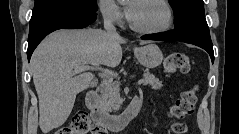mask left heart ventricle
I'll list each match as a JSON object with an SVG mask.
<instances>
[{
  "mask_svg": "<svg viewBox=\"0 0 239 134\" xmlns=\"http://www.w3.org/2000/svg\"><path fill=\"white\" fill-rule=\"evenodd\" d=\"M133 7L131 22L142 28H157L166 19L164 8L150 0L133 1L129 3Z\"/></svg>",
  "mask_w": 239,
  "mask_h": 134,
  "instance_id": "1",
  "label": "left heart ventricle"
}]
</instances>
